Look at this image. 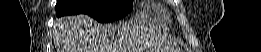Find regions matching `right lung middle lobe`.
Segmentation results:
<instances>
[{
    "mask_svg": "<svg viewBox=\"0 0 261 52\" xmlns=\"http://www.w3.org/2000/svg\"><path fill=\"white\" fill-rule=\"evenodd\" d=\"M131 8V0H58L55 7L56 16L83 13L98 22L118 20Z\"/></svg>",
    "mask_w": 261,
    "mask_h": 52,
    "instance_id": "1",
    "label": "right lung middle lobe"
}]
</instances>
